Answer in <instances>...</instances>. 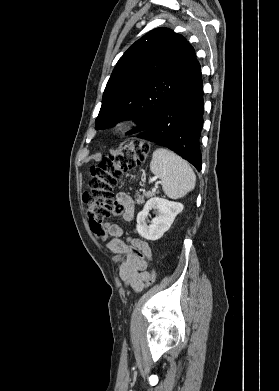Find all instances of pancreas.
I'll list each match as a JSON object with an SVG mask.
<instances>
[{"instance_id":"pancreas-1","label":"pancreas","mask_w":279,"mask_h":391,"mask_svg":"<svg viewBox=\"0 0 279 391\" xmlns=\"http://www.w3.org/2000/svg\"><path fill=\"white\" fill-rule=\"evenodd\" d=\"M155 195L154 192H147V193H144L143 195H139L137 194L136 198H135V202L138 204V205H141L144 203V198H150V197H153Z\"/></svg>"}]
</instances>
